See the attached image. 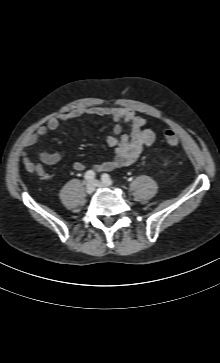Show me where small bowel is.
<instances>
[{"mask_svg":"<svg viewBox=\"0 0 220 363\" xmlns=\"http://www.w3.org/2000/svg\"><path fill=\"white\" fill-rule=\"evenodd\" d=\"M84 115L97 117H110L114 122L113 135L107 139V144L114 150V157L110 161L93 166V169L110 171L116 168L134 164L140 157L144 148L151 146L155 141V133L147 127V121L142 116L130 108L122 107H90L77 108L62 115L61 118H51L45 125L40 126L37 131L29 138L25 150L22 153L24 167L32 173L37 174L45 181L52 179L51 175L44 169L42 164L53 165L60 161L59 152H45L38 149L43 137L49 131H55L61 126L63 121L76 120ZM125 123L131 127V134H122V125ZM27 151H31L38 156L39 162H31L27 158ZM83 162L73 163L75 171L85 169Z\"/></svg>","mask_w":220,"mask_h":363,"instance_id":"small-bowel-1","label":"small bowel"}]
</instances>
